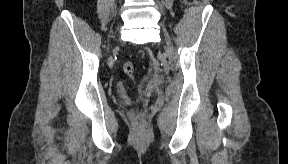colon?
<instances>
[{"label":"colon","mask_w":288,"mask_h":164,"mask_svg":"<svg viewBox=\"0 0 288 164\" xmlns=\"http://www.w3.org/2000/svg\"><path fill=\"white\" fill-rule=\"evenodd\" d=\"M123 71L130 79H133L135 68H134V65L132 62L128 61V62L124 63L123 64ZM132 111L134 113H137V108L133 106Z\"/></svg>","instance_id":"5ec220e1"}]
</instances>
